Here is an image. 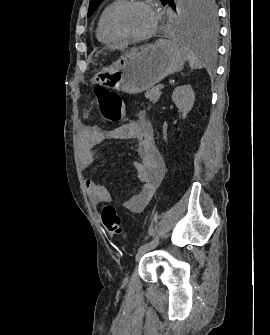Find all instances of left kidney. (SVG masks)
<instances>
[{"label":"left kidney","mask_w":270,"mask_h":335,"mask_svg":"<svg viewBox=\"0 0 270 335\" xmlns=\"http://www.w3.org/2000/svg\"><path fill=\"white\" fill-rule=\"evenodd\" d=\"M172 100L176 108H179V112H182L183 118H186L188 112L193 108L195 94L189 84L177 86L172 94Z\"/></svg>","instance_id":"5707ae66"}]
</instances>
